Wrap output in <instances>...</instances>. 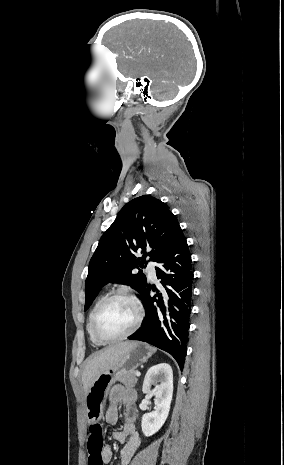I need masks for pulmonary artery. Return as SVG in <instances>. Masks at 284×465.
Masks as SVG:
<instances>
[{
	"label": "pulmonary artery",
	"instance_id": "pulmonary-artery-1",
	"mask_svg": "<svg viewBox=\"0 0 284 465\" xmlns=\"http://www.w3.org/2000/svg\"><path fill=\"white\" fill-rule=\"evenodd\" d=\"M148 273H149V277H150V278H152V279L155 278V271H154V269H150Z\"/></svg>",
	"mask_w": 284,
	"mask_h": 465
}]
</instances>
